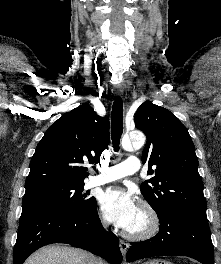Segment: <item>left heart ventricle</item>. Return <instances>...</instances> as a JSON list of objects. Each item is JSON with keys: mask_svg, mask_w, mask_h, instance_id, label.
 <instances>
[{"mask_svg": "<svg viewBox=\"0 0 221 264\" xmlns=\"http://www.w3.org/2000/svg\"><path fill=\"white\" fill-rule=\"evenodd\" d=\"M144 222H145L144 215L140 210H138L137 216L128 230H138L143 227Z\"/></svg>", "mask_w": 221, "mask_h": 264, "instance_id": "obj_1", "label": "left heart ventricle"}]
</instances>
